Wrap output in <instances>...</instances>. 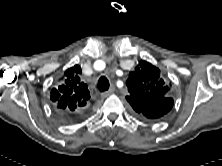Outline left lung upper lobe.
I'll use <instances>...</instances> for the list:
<instances>
[{
	"instance_id": "1",
	"label": "left lung upper lobe",
	"mask_w": 222,
	"mask_h": 166,
	"mask_svg": "<svg viewBox=\"0 0 222 166\" xmlns=\"http://www.w3.org/2000/svg\"><path fill=\"white\" fill-rule=\"evenodd\" d=\"M129 95L126 97L134 111L146 119L163 109L162 101L169 98V86L160 76V70L146 61H141L126 81ZM159 117V116H158Z\"/></svg>"
}]
</instances>
